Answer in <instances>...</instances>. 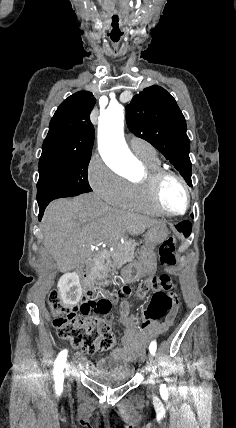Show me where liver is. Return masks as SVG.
I'll return each instance as SVG.
<instances>
[{
    "label": "liver",
    "instance_id": "liver-1",
    "mask_svg": "<svg viewBox=\"0 0 236 428\" xmlns=\"http://www.w3.org/2000/svg\"><path fill=\"white\" fill-rule=\"evenodd\" d=\"M158 224L148 216L120 212L107 206L95 194L78 198H61L47 206L41 230L47 252L53 256L60 272H70L84 264L93 254L96 244H117L129 232L143 234Z\"/></svg>",
    "mask_w": 236,
    "mask_h": 428
}]
</instances>
